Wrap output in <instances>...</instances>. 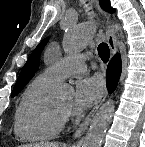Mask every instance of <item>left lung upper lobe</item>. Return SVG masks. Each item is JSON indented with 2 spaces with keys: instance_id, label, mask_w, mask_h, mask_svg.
I'll return each instance as SVG.
<instances>
[{
  "instance_id": "1",
  "label": "left lung upper lobe",
  "mask_w": 145,
  "mask_h": 147,
  "mask_svg": "<svg viewBox=\"0 0 145 147\" xmlns=\"http://www.w3.org/2000/svg\"><path fill=\"white\" fill-rule=\"evenodd\" d=\"M101 6L108 12L113 13L115 10L111 8L109 0H100ZM48 38L44 39L32 52L28 58L26 64L21 70V73L17 79V82L13 88L11 96H16L23 87L29 82V80L34 76L35 72L39 67L40 54L46 45Z\"/></svg>"
}]
</instances>
